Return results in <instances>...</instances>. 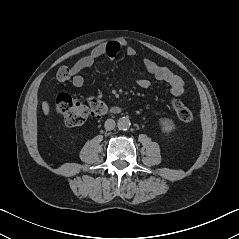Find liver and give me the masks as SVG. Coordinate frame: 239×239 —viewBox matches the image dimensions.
Here are the masks:
<instances>
[{
    "label": "liver",
    "instance_id": "liver-1",
    "mask_svg": "<svg viewBox=\"0 0 239 239\" xmlns=\"http://www.w3.org/2000/svg\"><path fill=\"white\" fill-rule=\"evenodd\" d=\"M42 110L45 115L49 114L50 107H49L48 102H46V101L42 102Z\"/></svg>",
    "mask_w": 239,
    "mask_h": 239
}]
</instances>
